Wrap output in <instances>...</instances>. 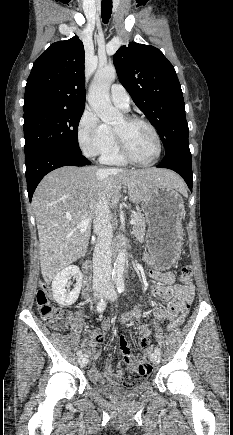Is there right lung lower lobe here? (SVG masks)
<instances>
[{"label": "right lung lower lobe", "instance_id": "98d812e1", "mask_svg": "<svg viewBox=\"0 0 233 435\" xmlns=\"http://www.w3.org/2000/svg\"><path fill=\"white\" fill-rule=\"evenodd\" d=\"M26 180L29 200L41 179L50 171L62 166H84L91 162L82 155L60 147L46 146L34 149L25 154Z\"/></svg>", "mask_w": 233, "mask_h": 435}]
</instances>
